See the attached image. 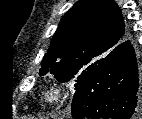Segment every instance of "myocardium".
I'll list each match as a JSON object with an SVG mask.
<instances>
[{
  "instance_id": "obj_1",
  "label": "myocardium",
  "mask_w": 142,
  "mask_h": 119,
  "mask_svg": "<svg viewBox=\"0 0 142 119\" xmlns=\"http://www.w3.org/2000/svg\"><path fill=\"white\" fill-rule=\"evenodd\" d=\"M65 98L63 89L60 86H52L45 94V101L48 105H57Z\"/></svg>"
}]
</instances>
